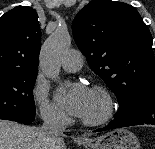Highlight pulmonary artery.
<instances>
[{
  "label": "pulmonary artery",
  "mask_w": 155,
  "mask_h": 149,
  "mask_svg": "<svg viewBox=\"0 0 155 149\" xmlns=\"http://www.w3.org/2000/svg\"><path fill=\"white\" fill-rule=\"evenodd\" d=\"M83 64L82 54L78 50H69L61 61L62 68L67 72L78 71Z\"/></svg>",
  "instance_id": "1"
}]
</instances>
